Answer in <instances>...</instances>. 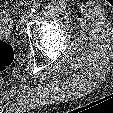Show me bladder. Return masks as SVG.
<instances>
[{
    "label": "bladder",
    "instance_id": "1",
    "mask_svg": "<svg viewBox=\"0 0 113 113\" xmlns=\"http://www.w3.org/2000/svg\"><path fill=\"white\" fill-rule=\"evenodd\" d=\"M11 22L8 18L0 15V35L7 34L10 31Z\"/></svg>",
    "mask_w": 113,
    "mask_h": 113
}]
</instances>
